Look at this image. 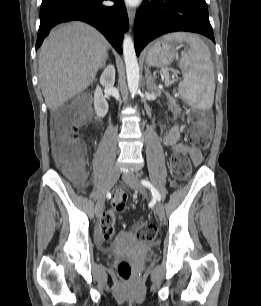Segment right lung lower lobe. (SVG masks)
<instances>
[{
	"instance_id": "right-lung-lower-lobe-1",
	"label": "right lung lower lobe",
	"mask_w": 261,
	"mask_h": 306,
	"mask_svg": "<svg viewBox=\"0 0 261 306\" xmlns=\"http://www.w3.org/2000/svg\"><path fill=\"white\" fill-rule=\"evenodd\" d=\"M113 1L114 6L107 7L102 4L103 0H42L36 50L52 27L70 20H81L96 27L122 54L123 34L129 21L123 0Z\"/></svg>"
}]
</instances>
